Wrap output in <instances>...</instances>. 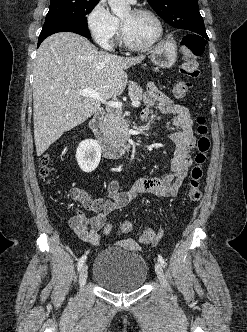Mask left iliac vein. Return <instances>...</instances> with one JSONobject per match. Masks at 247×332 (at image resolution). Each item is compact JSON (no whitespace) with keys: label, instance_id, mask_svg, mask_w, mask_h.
Instances as JSON below:
<instances>
[{"label":"left iliac vein","instance_id":"left-iliac-vein-1","mask_svg":"<svg viewBox=\"0 0 247 332\" xmlns=\"http://www.w3.org/2000/svg\"><path fill=\"white\" fill-rule=\"evenodd\" d=\"M155 272H156V274H157V277H158L160 283H161L165 288L168 289L169 286H168V283H167V281H166V279H165V276H164V272H163L162 266H161V264H160L159 262H157V263L155 264Z\"/></svg>","mask_w":247,"mask_h":332}]
</instances>
